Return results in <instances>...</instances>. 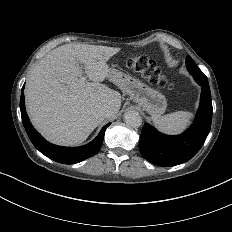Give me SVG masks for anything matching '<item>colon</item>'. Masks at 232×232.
<instances>
[{"mask_svg": "<svg viewBox=\"0 0 232 232\" xmlns=\"http://www.w3.org/2000/svg\"><path fill=\"white\" fill-rule=\"evenodd\" d=\"M147 56H131V70L135 73H144V79H149L150 86H168L166 74L163 73V68L157 65H148Z\"/></svg>", "mask_w": 232, "mask_h": 232, "instance_id": "obj_1", "label": "colon"}]
</instances>
